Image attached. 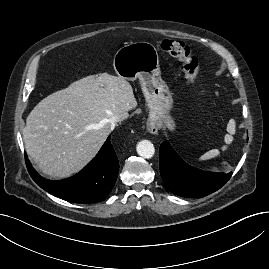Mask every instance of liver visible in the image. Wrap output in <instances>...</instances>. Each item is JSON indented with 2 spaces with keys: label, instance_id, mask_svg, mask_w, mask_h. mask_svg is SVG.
Instances as JSON below:
<instances>
[{
  "label": "liver",
  "instance_id": "1",
  "mask_svg": "<svg viewBox=\"0 0 269 269\" xmlns=\"http://www.w3.org/2000/svg\"><path fill=\"white\" fill-rule=\"evenodd\" d=\"M137 106L130 83L108 73L90 75L41 100L23 129L28 155L41 173L65 178L99 151L113 127L109 119Z\"/></svg>",
  "mask_w": 269,
  "mask_h": 269
}]
</instances>
